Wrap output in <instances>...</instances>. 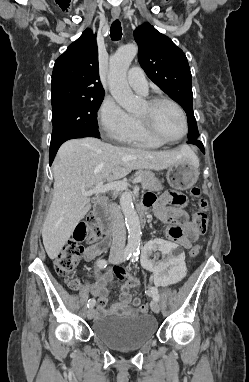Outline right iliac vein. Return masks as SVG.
I'll return each mask as SVG.
<instances>
[{
	"mask_svg": "<svg viewBox=\"0 0 249 382\" xmlns=\"http://www.w3.org/2000/svg\"><path fill=\"white\" fill-rule=\"evenodd\" d=\"M119 260V257L118 256H111L110 257V261L113 262V263H116L118 262ZM87 318L90 320L92 319L94 316H95V309L93 307H90L88 310H87Z\"/></svg>",
	"mask_w": 249,
	"mask_h": 382,
	"instance_id": "obj_1",
	"label": "right iliac vein"
}]
</instances>
